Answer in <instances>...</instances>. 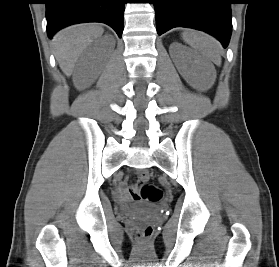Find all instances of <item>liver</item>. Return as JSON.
<instances>
[{"instance_id":"1","label":"liver","mask_w":279,"mask_h":267,"mask_svg":"<svg viewBox=\"0 0 279 267\" xmlns=\"http://www.w3.org/2000/svg\"><path fill=\"white\" fill-rule=\"evenodd\" d=\"M104 32L96 23L74 25L59 31L53 38L55 57L66 76H70L83 51Z\"/></svg>"}]
</instances>
